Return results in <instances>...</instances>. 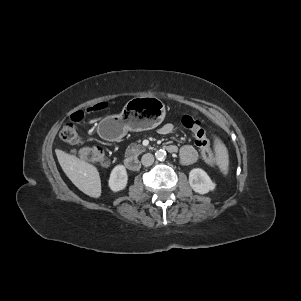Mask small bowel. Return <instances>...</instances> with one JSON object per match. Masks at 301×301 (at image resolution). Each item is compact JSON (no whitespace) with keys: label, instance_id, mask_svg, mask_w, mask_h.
<instances>
[{"label":"small bowel","instance_id":"c3829d8e","mask_svg":"<svg viewBox=\"0 0 301 301\" xmlns=\"http://www.w3.org/2000/svg\"><path fill=\"white\" fill-rule=\"evenodd\" d=\"M175 126L173 124H165L159 128L158 133L161 135H170L174 133ZM179 159L183 164H193L199 159V152L191 145H185L179 150Z\"/></svg>","mask_w":301,"mask_h":301}]
</instances>
